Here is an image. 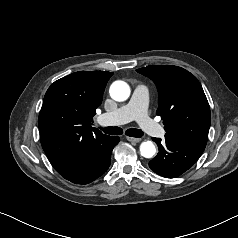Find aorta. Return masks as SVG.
<instances>
[{"label": "aorta", "instance_id": "1", "mask_svg": "<svg viewBox=\"0 0 238 238\" xmlns=\"http://www.w3.org/2000/svg\"><path fill=\"white\" fill-rule=\"evenodd\" d=\"M110 96L115 101H125L130 96V87L124 81H115L110 86ZM140 154L145 158H152L156 154V147L152 141H144L140 145Z\"/></svg>", "mask_w": 238, "mask_h": 238}]
</instances>
